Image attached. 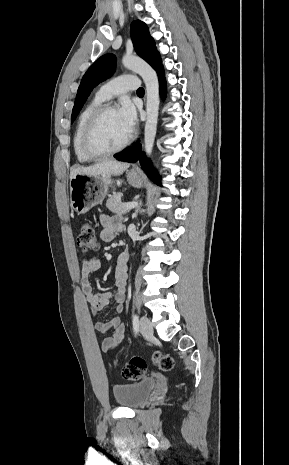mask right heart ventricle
<instances>
[{
  "label": "right heart ventricle",
  "mask_w": 289,
  "mask_h": 465,
  "mask_svg": "<svg viewBox=\"0 0 289 465\" xmlns=\"http://www.w3.org/2000/svg\"><path fill=\"white\" fill-rule=\"evenodd\" d=\"M104 100L100 99L98 95L90 101L84 109L81 111L74 130L73 134V148L76 155V158L81 163H87L92 161L94 158L89 157L83 150L82 147V136L85 124L92 114V112L98 108Z\"/></svg>",
  "instance_id": "right-heart-ventricle-1"
}]
</instances>
